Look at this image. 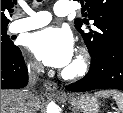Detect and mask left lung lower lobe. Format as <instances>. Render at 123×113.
Instances as JSON below:
<instances>
[{"instance_id":"obj_1","label":"left lung lower lobe","mask_w":123,"mask_h":113,"mask_svg":"<svg viewBox=\"0 0 123 113\" xmlns=\"http://www.w3.org/2000/svg\"><path fill=\"white\" fill-rule=\"evenodd\" d=\"M91 56L90 70L87 75L70 85L71 92H85L95 89L123 90V45Z\"/></svg>"}]
</instances>
